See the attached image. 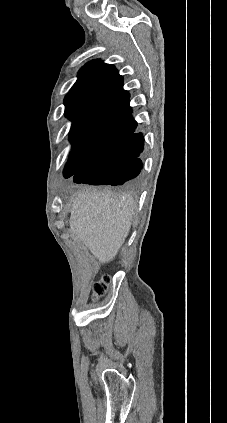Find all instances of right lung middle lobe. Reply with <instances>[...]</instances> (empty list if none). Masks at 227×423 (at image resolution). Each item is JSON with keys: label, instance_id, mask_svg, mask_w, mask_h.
Returning <instances> with one entry per match:
<instances>
[{"label": "right lung middle lobe", "instance_id": "dd1d6c3e", "mask_svg": "<svg viewBox=\"0 0 227 423\" xmlns=\"http://www.w3.org/2000/svg\"><path fill=\"white\" fill-rule=\"evenodd\" d=\"M90 156L92 155L79 154L71 151L68 163L66 165L68 177L72 176Z\"/></svg>", "mask_w": 227, "mask_h": 423}]
</instances>
